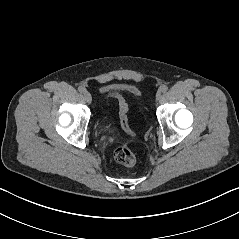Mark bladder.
Returning <instances> with one entry per match:
<instances>
[{
	"label": "bladder",
	"mask_w": 239,
	"mask_h": 239,
	"mask_svg": "<svg viewBox=\"0 0 239 239\" xmlns=\"http://www.w3.org/2000/svg\"><path fill=\"white\" fill-rule=\"evenodd\" d=\"M132 90L138 92V89H136V88H132ZM101 129H102L104 132H108V131H110V127H109V125H104V126L101 127Z\"/></svg>",
	"instance_id": "31cf9c89"
}]
</instances>
